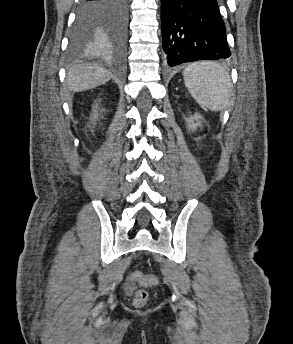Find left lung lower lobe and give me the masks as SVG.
<instances>
[{"mask_svg":"<svg viewBox=\"0 0 293 344\" xmlns=\"http://www.w3.org/2000/svg\"><path fill=\"white\" fill-rule=\"evenodd\" d=\"M161 26L169 66L231 55L216 0H161Z\"/></svg>","mask_w":293,"mask_h":344,"instance_id":"obj_1","label":"left lung lower lobe"}]
</instances>
